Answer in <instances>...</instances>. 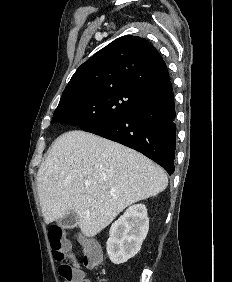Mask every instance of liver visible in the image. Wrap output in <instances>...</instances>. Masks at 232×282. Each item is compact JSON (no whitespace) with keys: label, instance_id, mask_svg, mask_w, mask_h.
I'll return each mask as SVG.
<instances>
[{"label":"liver","instance_id":"1","mask_svg":"<svg viewBox=\"0 0 232 282\" xmlns=\"http://www.w3.org/2000/svg\"><path fill=\"white\" fill-rule=\"evenodd\" d=\"M167 185L165 171L141 153L82 130L60 135L37 173L45 223L75 211L87 237L99 233L127 206L161 193Z\"/></svg>","mask_w":232,"mask_h":282}]
</instances>
